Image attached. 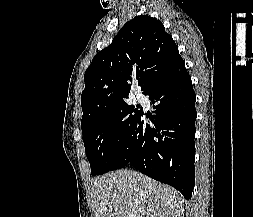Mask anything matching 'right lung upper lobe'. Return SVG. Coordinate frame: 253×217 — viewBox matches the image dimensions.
<instances>
[{
	"instance_id": "cb5924a9",
	"label": "right lung upper lobe",
	"mask_w": 253,
	"mask_h": 217,
	"mask_svg": "<svg viewBox=\"0 0 253 217\" xmlns=\"http://www.w3.org/2000/svg\"><path fill=\"white\" fill-rule=\"evenodd\" d=\"M181 60L177 45L161 21L148 15L128 21L85 72L81 124L125 102L135 79L145 94Z\"/></svg>"
}]
</instances>
